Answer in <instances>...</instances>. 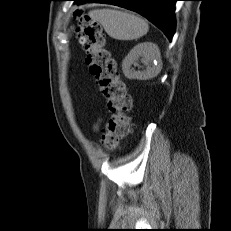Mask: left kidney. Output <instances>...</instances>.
I'll return each instance as SVG.
<instances>
[{
	"mask_svg": "<svg viewBox=\"0 0 231 231\" xmlns=\"http://www.w3.org/2000/svg\"><path fill=\"white\" fill-rule=\"evenodd\" d=\"M147 66L143 71H135L131 66L139 59ZM162 68L159 48L152 42L136 45L122 62V70L128 79L148 80L156 77Z\"/></svg>",
	"mask_w": 231,
	"mask_h": 231,
	"instance_id": "1",
	"label": "left kidney"
}]
</instances>
